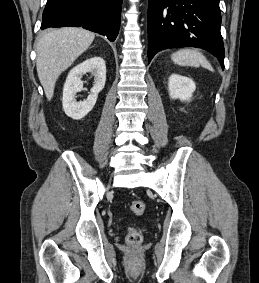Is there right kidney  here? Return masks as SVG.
<instances>
[{
    "label": "right kidney",
    "mask_w": 259,
    "mask_h": 283,
    "mask_svg": "<svg viewBox=\"0 0 259 283\" xmlns=\"http://www.w3.org/2000/svg\"><path fill=\"white\" fill-rule=\"evenodd\" d=\"M91 73L95 77V84L91 94L82 102L76 101L77 92L83 88L82 76ZM106 81V65L101 57H92L74 67L68 74L63 87L62 105L67 116L74 120L84 118L94 107L99 92Z\"/></svg>",
    "instance_id": "right-kidney-1"
}]
</instances>
